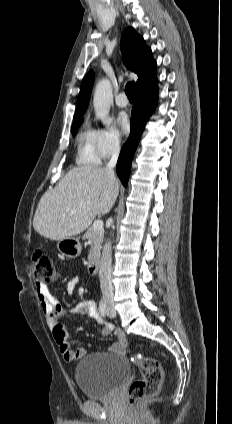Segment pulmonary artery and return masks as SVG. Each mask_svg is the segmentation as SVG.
<instances>
[{
  "instance_id": "obj_1",
  "label": "pulmonary artery",
  "mask_w": 232,
  "mask_h": 424,
  "mask_svg": "<svg viewBox=\"0 0 232 424\" xmlns=\"http://www.w3.org/2000/svg\"><path fill=\"white\" fill-rule=\"evenodd\" d=\"M118 107L125 108L128 105V99L125 93H120L115 99Z\"/></svg>"
}]
</instances>
